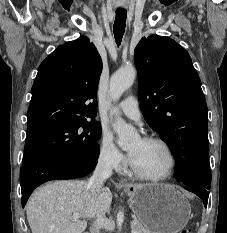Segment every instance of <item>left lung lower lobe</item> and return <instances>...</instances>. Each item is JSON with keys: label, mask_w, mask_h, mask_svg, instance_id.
Returning a JSON list of instances; mask_svg holds the SVG:
<instances>
[{"label": "left lung lower lobe", "mask_w": 227, "mask_h": 233, "mask_svg": "<svg viewBox=\"0 0 227 233\" xmlns=\"http://www.w3.org/2000/svg\"><path fill=\"white\" fill-rule=\"evenodd\" d=\"M184 187L187 190H189V191L195 193L197 196H199L202 199L204 206L207 207L209 192L201 190V189H199L195 186H191V185H184Z\"/></svg>", "instance_id": "1"}]
</instances>
